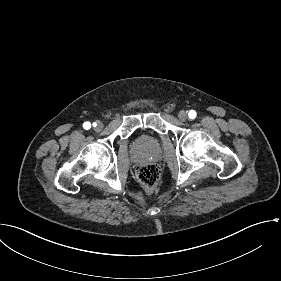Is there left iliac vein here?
<instances>
[{"instance_id":"4c4485c4","label":"left iliac vein","mask_w":281,"mask_h":281,"mask_svg":"<svg viewBox=\"0 0 281 281\" xmlns=\"http://www.w3.org/2000/svg\"><path fill=\"white\" fill-rule=\"evenodd\" d=\"M178 118H179L181 121H185V120L188 118L187 112H185V111H180V112L178 113Z\"/></svg>"}]
</instances>
